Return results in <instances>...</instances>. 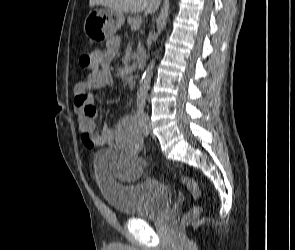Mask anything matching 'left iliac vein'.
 <instances>
[{"mask_svg":"<svg viewBox=\"0 0 295 250\" xmlns=\"http://www.w3.org/2000/svg\"><path fill=\"white\" fill-rule=\"evenodd\" d=\"M146 123H147L146 129L148 130V132L150 133V135L152 136V138L156 139L155 135L152 133L151 123H150L149 120H147V118H146Z\"/></svg>","mask_w":295,"mask_h":250,"instance_id":"left-iliac-vein-1","label":"left iliac vein"}]
</instances>
